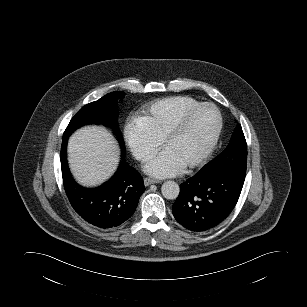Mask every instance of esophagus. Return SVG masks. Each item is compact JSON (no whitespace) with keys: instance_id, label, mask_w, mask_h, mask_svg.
Segmentation results:
<instances>
[{"instance_id":"esophagus-1","label":"esophagus","mask_w":307,"mask_h":307,"mask_svg":"<svg viewBox=\"0 0 307 307\" xmlns=\"http://www.w3.org/2000/svg\"><path fill=\"white\" fill-rule=\"evenodd\" d=\"M161 182H162L161 180L154 179V178H145L144 179L145 186H148V185L154 184V183H161Z\"/></svg>"}]
</instances>
